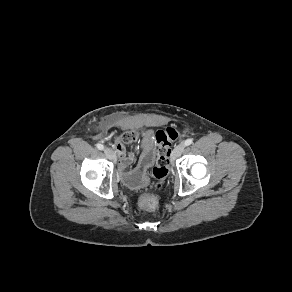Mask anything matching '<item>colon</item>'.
I'll return each mask as SVG.
<instances>
[{"label": "colon", "mask_w": 292, "mask_h": 292, "mask_svg": "<svg viewBox=\"0 0 292 292\" xmlns=\"http://www.w3.org/2000/svg\"><path fill=\"white\" fill-rule=\"evenodd\" d=\"M137 136V132H126L121 135L119 141L127 144L134 141ZM155 137L159 148L152 176L157 181L156 188H159L169 173L171 146L180 137V132L174 127H167L157 131ZM158 204L159 200L155 195L143 194L139 197V206L144 210L153 211L158 207Z\"/></svg>", "instance_id": "5ec220e1"}]
</instances>
